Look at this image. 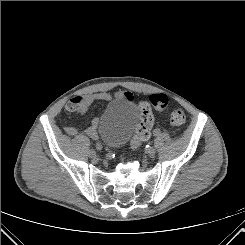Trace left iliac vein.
Returning a JSON list of instances; mask_svg holds the SVG:
<instances>
[{
	"label": "left iliac vein",
	"instance_id": "left-iliac-vein-1",
	"mask_svg": "<svg viewBox=\"0 0 245 245\" xmlns=\"http://www.w3.org/2000/svg\"><path fill=\"white\" fill-rule=\"evenodd\" d=\"M155 153H156V150L153 147L149 148L147 151V154L149 157H154Z\"/></svg>",
	"mask_w": 245,
	"mask_h": 245
}]
</instances>
